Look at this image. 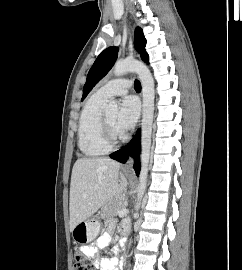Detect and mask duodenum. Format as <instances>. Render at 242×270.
Instances as JSON below:
<instances>
[{"label": "duodenum", "instance_id": "1", "mask_svg": "<svg viewBox=\"0 0 242 270\" xmlns=\"http://www.w3.org/2000/svg\"><path fill=\"white\" fill-rule=\"evenodd\" d=\"M123 236H127V228L124 229V231L122 232Z\"/></svg>", "mask_w": 242, "mask_h": 270}]
</instances>
